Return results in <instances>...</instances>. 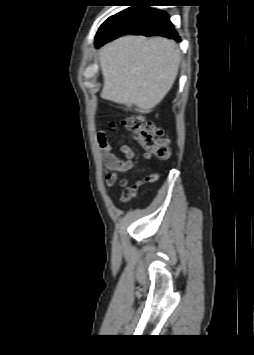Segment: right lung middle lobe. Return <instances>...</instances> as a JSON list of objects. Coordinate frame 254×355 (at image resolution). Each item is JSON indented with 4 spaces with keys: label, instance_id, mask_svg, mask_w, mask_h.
Returning <instances> with one entry per match:
<instances>
[{
    "label": "right lung middle lobe",
    "instance_id": "1",
    "mask_svg": "<svg viewBox=\"0 0 254 355\" xmlns=\"http://www.w3.org/2000/svg\"><path fill=\"white\" fill-rule=\"evenodd\" d=\"M108 21V19L101 25V27L99 28L98 32H97V35H96V38L99 36V34L101 33V31L103 30L106 22Z\"/></svg>",
    "mask_w": 254,
    "mask_h": 355
}]
</instances>
